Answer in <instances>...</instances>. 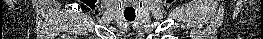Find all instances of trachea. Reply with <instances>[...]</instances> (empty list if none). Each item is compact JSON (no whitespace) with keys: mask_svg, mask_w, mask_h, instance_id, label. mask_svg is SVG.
Here are the masks:
<instances>
[{"mask_svg":"<svg viewBox=\"0 0 263 39\" xmlns=\"http://www.w3.org/2000/svg\"><path fill=\"white\" fill-rule=\"evenodd\" d=\"M126 20L131 22V21H134L135 18H126Z\"/></svg>","mask_w":263,"mask_h":39,"instance_id":"3493384b","label":"trachea"}]
</instances>
